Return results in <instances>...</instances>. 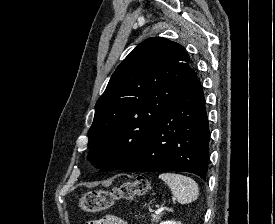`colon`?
<instances>
[{"label": "colon", "instance_id": "1", "mask_svg": "<svg viewBox=\"0 0 275 224\" xmlns=\"http://www.w3.org/2000/svg\"><path fill=\"white\" fill-rule=\"evenodd\" d=\"M149 186V180L139 176L133 181H126L110 190H93L86 193L81 197L79 207L88 213L104 211L117 201L132 200L144 194Z\"/></svg>", "mask_w": 275, "mask_h": 224}]
</instances>
